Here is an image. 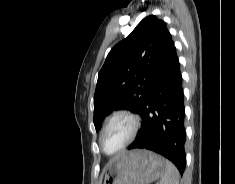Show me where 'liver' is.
Instances as JSON below:
<instances>
[{
	"label": "liver",
	"instance_id": "liver-1",
	"mask_svg": "<svg viewBox=\"0 0 235 184\" xmlns=\"http://www.w3.org/2000/svg\"><path fill=\"white\" fill-rule=\"evenodd\" d=\"M117 158H119V156H117ZM117 158H114V160H117Z\"/></svg>",
	"mask_w": 235,
	"mask_h": 184
}]
</instances>
